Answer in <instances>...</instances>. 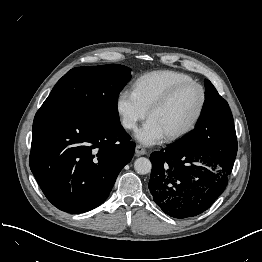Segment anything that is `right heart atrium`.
<instances>
[{"instance_id":"d8ad5b80","label":"right heart atrium","mask_w":262,"mask_h":262,"mask_svg":"<svg viewBox=\"0 0 262 262\" xmlns=\"http://www.w3.org/2000/svg\"><path fill=\"white\" fill-rule=\"evenodd\" d=\"M116 109L122 126L127 130H135L139 122L147 116V110L129 90H122L118 94Z\"/></svg>"}]
</instances>
